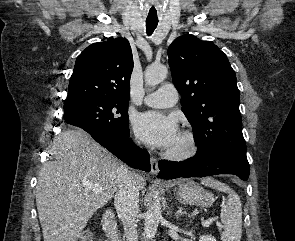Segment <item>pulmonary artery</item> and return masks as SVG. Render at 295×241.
Segmentation results:
<instances>
[{
	"label": "pulmonary artery",
	"mask_w": 295,
	"mask_h": 241,
	"mask_svg": "<svg viewBox=\"0 0 295 241\" xmlns=\"http://www.w3.org/2000/svg\"><path fill=\"white\" fill-rule=\"evenodd\" d=\"M178 101V92L170 84L161 86L157 91L144 98L146 105L155 108H167L175 105Z\"/></svg>",
	"instance_id": "obj_1"
}]
</instances>
